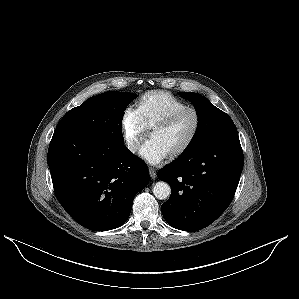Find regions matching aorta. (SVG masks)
I'll list each match as a JSON object with an SVG mask.
<instances>
[{
  "label": "aorta",
  "instance_id": "762f6f07",
  "mask_svg": "<svg viewBox=\"0 0 299 299\" xmlns=\"http://www.w3.org/2000/svg\"><path fill=\"white\" fill-rule=\"evenodd\" d=\"M153 194L159 200H164L171 194V188L168 183L159 181L153 186Z\"/></svg>",
  "mask_w": 299,
  "mask_h": 299
}]
</instances>
